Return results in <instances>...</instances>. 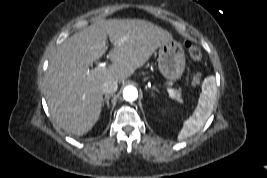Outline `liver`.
<instances>
[{"label": "liver", "instance_id": "obj_1", "mask_svg": "<svg viewBox=\"0 0 267 178\" xmlns=\"http://www.w3.org/2000/svg\"><path fill=\"white\" fill-rule=\"evenodd\" d=\"M113 45L107 55L112 64L103 72L88 74L89 67ZM172 35L151 22L138 19H98L67 38L52 55L44 80V93L55 123L82 136L99 119L102 85L122 82L142 67Z\"/></svg>", "mask_w": 267, "mask_h": 178}]
</instances>
